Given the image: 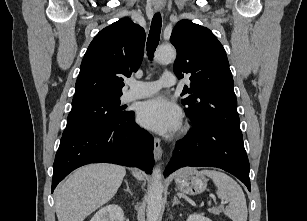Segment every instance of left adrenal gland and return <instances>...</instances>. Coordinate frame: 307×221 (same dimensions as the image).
I'll list each match as a JSON object with an SVG mask.
<instances>
[{
	"mask_svg": "<svg viewBox=\"0 0 307 221\" xmlns=\"http://www.w3.org/2000/svg\"><path fill=\"white\" fill-rule=\"evenodd\" d=\"M176 204H182V203L178 200V197L175 195V196L173 197L172 206H175Z\"/></svg>",
	"mask_w": 307,
	"mask_h": 221,
	"instance_id": "a2214340",
	"label": "left adrenal gland"
}]
</instances>
